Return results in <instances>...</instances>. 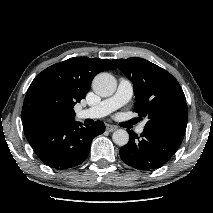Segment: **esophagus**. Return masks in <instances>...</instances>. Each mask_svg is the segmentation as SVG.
<instances>
[{
    "instance_id": "esophagus-1",
    "label": "esophagus",
    "mask_w": 213,
    "mask_h": 213,
    "mask_svg": "<svg viewBox=\"0 0 213 213\" xmlns=\"http://www.w3.org/2000/svg\"><path fill=\"white\" fill-rule=\"evenodd\" d=\"M117 129V127L116 126H114V125H107L106 126V130L107 131H109V132H113V131H115Z\"/></svg>"
}]
</instances>
